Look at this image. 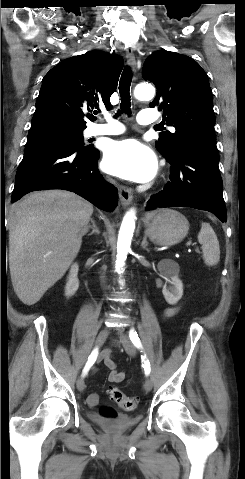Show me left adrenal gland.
Segmentation results:
<instances>
[{
  "mask_svg": "<svg viewBox=\"0 0 245 479\" xmlns=\"http://www.w3.org/2000/svg\"><path fill=\"white\" fill-rule=\"evenodd\" d=\"M141 247L145 249L147 252H149V249L147 248V237L144 236L143 241L141 243Z\"/></svg>",
  "mask_w": 245,
  "mask_h": 479,
  "instance_id": "a2214340",
  "label": "left adrenal gland"
}]
</instances>
